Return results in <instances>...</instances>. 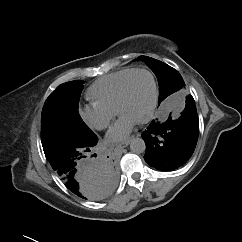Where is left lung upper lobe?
<instances>
[{
    "instance_id": "5c2ea615",
    "label": "left lung upper lobe",
    "mask_w": 242,
    "mask_h": 242,
    "mask_svg": "<svg viewBox=\"0 0 242 242\" xmlns=\"http://www.w3.org/2000/svg\"><path fill=\"white\" fill-rule=\"evenodd\" d=\"M139 58L143 60L157 76L159 83L158 105L170 94L185 86L183 78L174 68L148 56H140Z\"/></svg>"
}]
</instances>
